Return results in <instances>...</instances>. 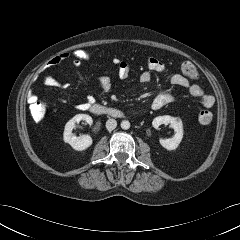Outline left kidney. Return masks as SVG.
<instances>
[{
	"label": "left kidney",
	"instance_id": "left-kidney-1",
	"mask_svg": "<svg viewBox=\"0 0 240 240\" xmlns=\"http://www.w3.org/2000/svg\"><path fill=\"white\" fill-rule=\"evenodd\" d=\"M168 123L174 129L175 134L172 138L160 139V144L165 149L171 151V150H175L179 146V144H180V142L183 138V123H182V120L177 118V117H172V116H169V115L158 116V117L153 119L152 126L155 129H158V127L161 124H168Z\"/></svg>",
	"mask_w": 240,
	"mask_h": 240
}]
</instances>
